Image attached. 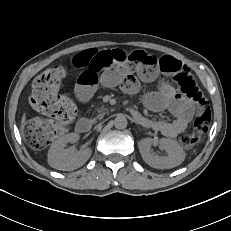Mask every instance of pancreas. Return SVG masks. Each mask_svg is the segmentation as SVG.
<instances>
[{"instance_id": "cf45deb5", "label": "pancreas", "mask_w": 231, "mask_h": 231, "mask_svg": "<svg viewBox=\"0 0 231 231\" xmlns=\"http://www.w3.org/2000/svg\"><path fill=\"white\" fill-rule=\"evenodd\" d=\"M102 117H103V114H99V115H98V118H102Z\"/></svg>"}]
</instances>
